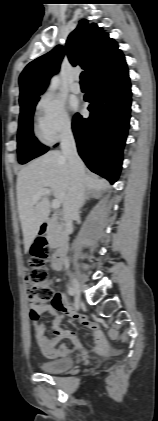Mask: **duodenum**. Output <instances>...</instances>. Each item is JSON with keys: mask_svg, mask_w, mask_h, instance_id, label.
I'll return each mask as SVG.
<instances>
[{"mask_svg": "<svg viewBox=\"0 0 158 421\" xmlns=\"http://www.w3.org/2000/svg\"><path fill=\"white\" fill-rule=\"evenodd\" d=\"M49 224H50V219H46L43 221V223L40 226L41 235H44L46 233ZM67 250H68V245L62 244L53 255L51 264L54 270H60L63 267Z\"/></svg>", "mask_w": 158, "mask_h": 421, "instance_id": "duodenum-1", "label": "duodenum"}]
</instances>
